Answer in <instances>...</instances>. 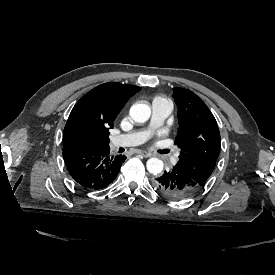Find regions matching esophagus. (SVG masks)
Masks as SVG:
<instances>
[{"instance_id": "obj_1", "label": "esophagus", "mask_w": 275, "mask_h": 275, "mask_svg": "<svg viewBox=\"0 0 275 275\" xmlns=\"http://www.w3.org/2000/svg\"><path fill=\"white\" fill-rule=\"evenodd\" d=\"M138 154H141L144 158H148L151 156V153L144 151V150H139Z\"/></svg>"}]
</instances>
